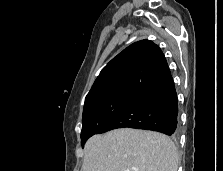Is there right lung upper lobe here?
Wrapping results in <instances>:
<instances>
[{"label": "right lung upper lobe", "mask_w": 223, "mask_h": 171, "mask_svg": "<svg viewBox=\"0 0 223 171\" xmlns=\"http://www.w3.org/2000/svg\"><path fill=\"white\" fill-rule=\"evenodd\" d=\"M168 74L166 59L156 44L149 40L135 42L102 69L85 104L116 93L139 94Z\"/></svg>", "instance_id": "1"}]
</instances>
